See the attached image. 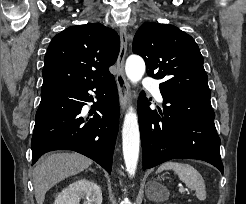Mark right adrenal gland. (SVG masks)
I'll return each mask as SVG.
<instances>
[{
    "label": "right adrenal gland",
    "instance_id": "right-adrenal-gland-1",
    "mask_svg": "<svg viewBox=\"0 0 246 204\" xmlns=\"http://www.w3.org/2000/svg\"><path fill=\"white\" fill-rule=\"evenodd\" d=\"M89 170H90V171H92V172H95V170H94V169H92V168H89Z\"/></svg>",
    "mask_w": 246,
    "mask_h": 204
}]
</instances>
